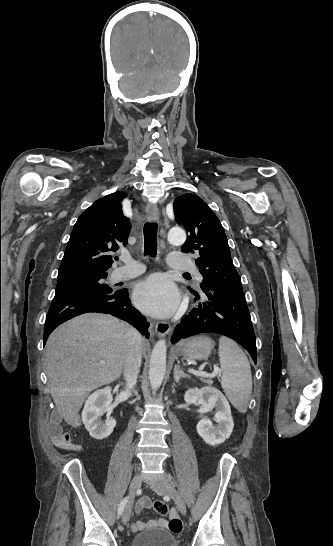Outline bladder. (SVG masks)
Listing matches in <instances>:
<instances>
[{
    "label": "bladder",
    "instance_id": "31cf9c89",
    "mask_svg": "<svg viewBox=\"0 0 333 546\" xmlns=\"http://www.w3.org/2000/svg\"><path fill=\"white\" fill-rule=\"evenodd\" d=\"M130 546H177L175 536L165 529H152L133 537Z\"/></svg>",
    "mask_w": 333,
    "mask_h": 546
}]
</instances>
